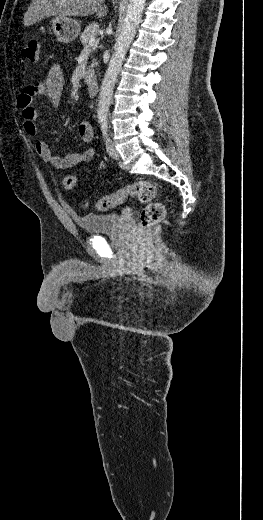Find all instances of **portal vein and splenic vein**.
<instances>
[{"mask_svg":"<svg viewBox=\"0 0 263 520\" xmlns=\"http://www.w3.org/2000/svg\"><path fill=\"white\" fill-rule=\"evenodd\" d=\"M95 41H96L95 37H91L88 42V46H94Z\"/></svg>","mask_w":263,"mask_h":520,"instance_id":"1","label":"portal vein and splenic vein"}]
</instances>
